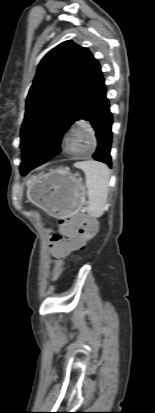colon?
<instances>
[{"instance_id":"obj_1","label":"colon","mask_w":155,"mask_h":413,"mask_svg":"<svg viewBox=\"0 0 155 413\" xmlns=\"http://www.w3.org/2000/svg\"><path fill=\"white\" fill-rule=\"evenodd\" d=\"M61 225L69 235L55 234L50 241L54 254L60 258H70L72 252H80L97 231V222L92 217L68 216Z\"/></svg>"}]
</instances>
